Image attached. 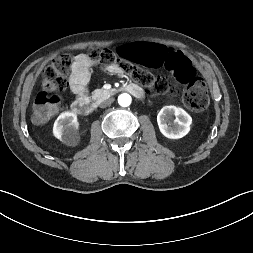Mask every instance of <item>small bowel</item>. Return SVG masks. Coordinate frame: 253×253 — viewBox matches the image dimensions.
I'll return each mask as SVG.
<instances>
[{"instance_id":"small-bowel-1","label":"small bowel","mask_w":253,"mask_h":253,"mask_svg":"<svg viewBox=\"0 0 253 253\" xmlns=\"http://www.w3.org/2000/svg\"><path fill=\"white\" fill-rule=\"evenodd\" d=\"M138 43L144 44L145 42ZM93 64L94 63L84 54L77 55L74 58L72 73L69 78V88L70 91L78 98L84 97L87 93V85L91 75L90 68ZM108 72L113 75H120L122 73L121 69L117 65L109 66Z\"/></svg>"}]
</instances>
